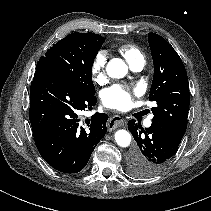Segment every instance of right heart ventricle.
I'll return each instance as SVG.
<instances>
[{
	"mask_svg": "<svg viewBox=\"0 0 211 211\" xmlns=\"http://www.w3.org/2000/svg\"><path fill=\"white\" fill-rule=\"evenodd\" d=\"M118 52L127 60L130 66L137 62L144 61L142 51L132 44H123L119 46Z\"/></svg>",
	"mask_w": 211,
	"mask_h": 211,
	"instance_id": "obj_1",
	"label": "right heart ventricle"
}]
</instances>
